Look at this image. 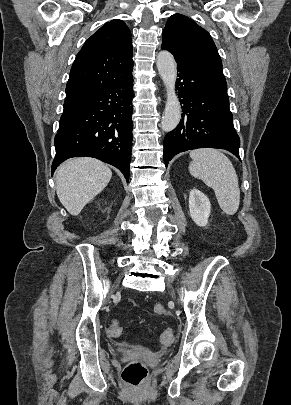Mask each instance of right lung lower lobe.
<instances>
[{
	"instance_id": "1",
	"label": "right lung lower lobe",
	"mask_w": 291,
	"mask_h": 405,
	"mask_svg": "<svg viewBox=\"0 0 291 405\" xmlns=\"http://www.w3.org/2000/svg\"><path fill=\"white\" fill-rule=\"evenodd\" d=\"M132 74L93 91L63 111L54 143L53 173L64 160L89 156L117 167L129 180Z\"/></svg>"
}]
</instances>
